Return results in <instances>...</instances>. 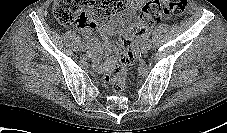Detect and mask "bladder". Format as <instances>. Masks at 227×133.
Masks as SVG:
<instances>
[{
	"label": "bladder",
	"instance_id": "1",
	"mask_svg": "<svg viewBox=\"0 0 227 133\" xmlns=\"http://www.w3.org/2000/svg\"><path fill=\"white\" fill-rule=\"evenodd\" d=\"M135 19V13L132 11L127 12L123 18H122V22L119 25V27L116 29V32H121L123 30H125L126 28H128L130 26V24L133 22V20Z\"/></svg>",
	"mask_w": 227,
	"mask_h": 133
}]
</instances>
